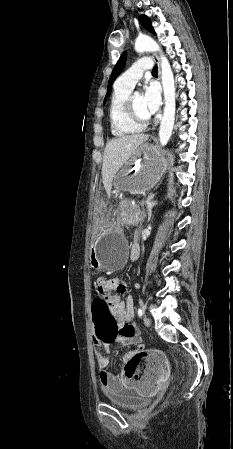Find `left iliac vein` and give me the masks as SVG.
Segmentation results:
<instances>
[{"mask_svg": "<svg viewBox=\"0 0 233 449\" xmlns=\"http://www.w3.org/2000/svg\"><path fill=\"white\" fill-rule=\"evenodd\" d=\"M143 321H144V324H145L147 327H149V326L151 325V320H150L149 317L145 316V317L143 318Z\"/></svg>", "mask_w": 233, "mask_h": 449, "instance_id": "obj_1", "label": "left iliac vein"}]
</instances>
